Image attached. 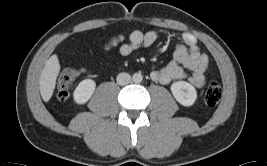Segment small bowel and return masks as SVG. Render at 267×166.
I'll use <instances>...</instances> for the list:
<instances>
[{
  "mask_svg": "<svg viewBox=\"0 0 267 166\" xmlns=\"http://www.w3.org/2000/svg\"><path fill=\"white\" fill-rule=\"evenodd\" d=\"M158 39V34L153 31H133L127 42L119 47L122 56H128L140 47H149ZM208 70V58L201 53L196 38L191 33L182 34L177 41L173 59L169 64L151 73V78L162 84H169L175 81L188 80L197 88L202 87L206 81ZM74 77L80 74L79 70H69Z\"/></svg>",
  "mask_w": 267,
  "mask_h": 166,
  "instance_id": "small-bowel-1",
  "label": "small bowel"
}]
</instances>
